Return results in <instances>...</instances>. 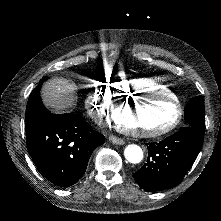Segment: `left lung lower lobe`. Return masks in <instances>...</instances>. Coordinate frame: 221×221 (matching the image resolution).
<instances>
[{
	"mask_svg": "<svg viewBox=\"0 0 221 221\" xmlns=\"http://www.w3.org/2000/svg\"><path fill=\"white\" fill-rule=\"evenodd\" d=\"M203 139L204 131L187 125L159 143H147V163L133 174L135 181L150 192L180 184L198 156Z\"/></svg>",
	"mask_w": 221,
	"mask_h": 221,
	"instance_id": "left-lung-lower-lobe-1",
	"label": "left lung lower lobe"
}]
</instances>
